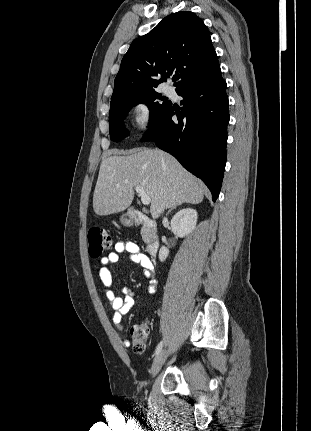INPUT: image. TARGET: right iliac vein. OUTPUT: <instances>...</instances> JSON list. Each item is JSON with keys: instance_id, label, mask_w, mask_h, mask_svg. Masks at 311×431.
<instances>
[{"instance_id": "obj_1", "label": "right iliac vein", "mask_w": 311, "mask_h": 431, "mask_svg": "<svg viewBox=\"0 0 311 431\" xmlns=\"http://www.w3.org/2000/svg\"><path fill=\"white\" fill-rule=\"evenodd\" d=\"M168 356V351L167 350H163L161 351L157 357L155 358L152 367H151V377L154 378L157 373L160 371L162 365L164 364V362L166 361Z\"/></svg>"}]
</instances>
